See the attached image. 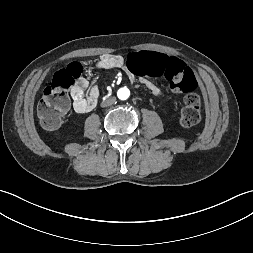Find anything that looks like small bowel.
I'll use <instances>...</instances> for the list:
<instances>
[{
	"label": "small bowel",
	"mask_w": 253,
	"mask_h": 253,
	"mask_svg": "<svg viewBox=\"0 0 253 253\" xmlns=\"http://www.w3.org/2000/svg\"><path fill=\"white\" fill-rule=\"evenodd\" d=\"M155 52V51H151ZM161 53V52H158ZM164 54V53H163ZM129 55V54H128ZM124 58L119 54H103L98 61L89 66L90 70H112L123 68L126 70L129 80L135 82L139 77L140 82L154 95L160 93V88L148 79L147 76L135 74L127 66V57ZM88 81L84 77L79 78L71 90L74 110L78 113L90 112L97 105L99 99V90L96 86L91 87L88 92Z\"/></svg>",
	"instance_id": "1"
}]
</instances>
